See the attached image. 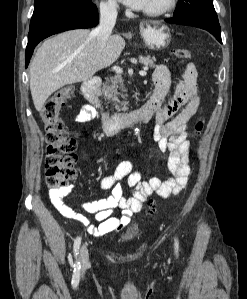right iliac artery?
<instances>
[{
	"mask_svg": "<svg viewBox=\"0 0 247 299\" xmlns=\"http://www.w3.org/2000/svg\"><path fill=\"white\" fill-rule=\"evenodd\" d=\"M80 244H81V238L77 237L75 239L74 245H73V251H74V254H75L76 258H77L78 252H79ZM79 270H80V263L78 261H76L74 271L78 274Z\"/></svg>",
	"mask_w": 247,
	"mask_h": 299,
	"instance_id": "obj_1",
	"label": "right iliac artery"
}]
</instances>
